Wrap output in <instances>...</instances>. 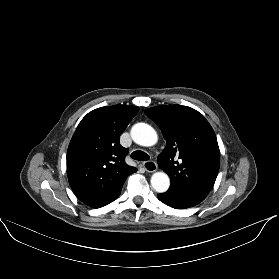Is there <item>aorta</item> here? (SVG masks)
Masks as SVG:
<instances>
[{
	"instance_id": "aorta-1",
	"label": "aorta",
	"mask_w": 279,
	"mask_h": 279,
	"mask_svg": "<svg viewBox=\"0 0 279 279\" xmlns=\"http://www.w3.org/2000/svg\"><path fill=\"white\" fill-rule=\"evenodd\" d=\"M133 141L141 146H153L158 136L153 127L146 123H137L131 128ZM151 186L159 193L166 192L170 186V179L164 172H156L151 177Z\"/></svg>"
}]
</instances>
